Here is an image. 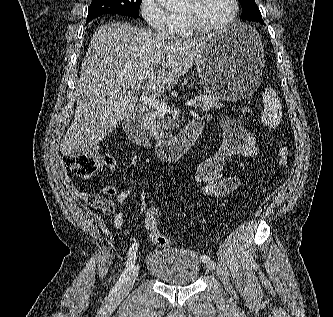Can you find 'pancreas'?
Masks as SVG:
<instances>
[{"label": "pancreas", "instance_id": "1", "mask_svg": "<svg viewBox=\"0 0 333 317\" xmlns=\"http://www.w3.org/2000/svg\"><path fill=\"white\" fill-rule=\"evenodd\" d=\"M222 106L218 98L213 95H202L200 103L197 105L200 111H209L213 108L219 109ZM148 131L156 139L171 138V130L174 127L171 118L155 108H151L145 116Z\"/></svg>", "mask_w": 333, "mask_h": 317}]
</instances>
